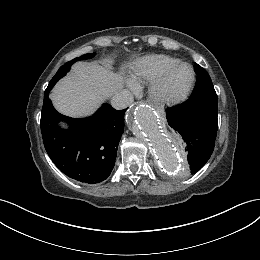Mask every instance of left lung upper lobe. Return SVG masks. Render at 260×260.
<instances>
[{"mask_svg":"<svg viewBox=\"0 0 260 260\" xmlns=\"http://www.w3.org/2000/svg\"><path fill=\"white\" fill-rule=\"evenodd\" d=\"M195 66L197 72V82L190 98L198 97L204 94H216L211 78L207 71L198 64Z\"/></svg>","mask_w":260,"mask_h":260,"instance_id":"left-lung-upper-lobe-1","label":"left lung upper lobe"}]
</instances>
